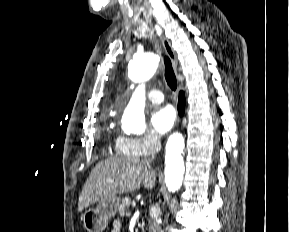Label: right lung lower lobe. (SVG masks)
Instances as JSON below:
<instances>
[{
  "label": "right lung lower lobe",
  "mask_w": 289,
  "mask_h": 232,
  "mask_svg": "<svg viewBox=\"0 0 289 232\" xmlns=\"http://www.w3.org/2000/svg\"><path fill=\"white\" fill-rule=\"evenodd\" d=\"M184 108H185V97H184V93L180 92L179 101H178V112L181 116L184 114Z\"/></svg>",
  "instance_id": "right-lung-lower-lobe-1"
}]
</instances>
